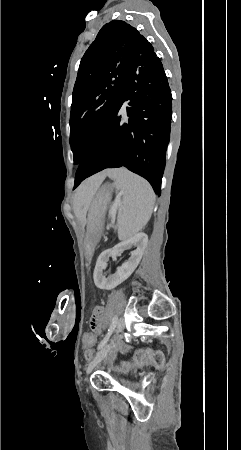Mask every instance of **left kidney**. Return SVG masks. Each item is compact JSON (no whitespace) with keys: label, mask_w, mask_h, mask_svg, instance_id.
I'll return each mask as SVG.
<instances>
[{"label":"left kidney","mask_w":241,"mask_h":450,"mask_svg":"<svg viewBox=\"0 0 241 450\" xmlns=\"http://www.w3.org/2000/svg\"><path fill=\"white\" fill-rule=\"evenodd\" d=\"M147 244V234L140 232V234H134V236L129 238V240H125V242H120V244H117V246H114L113 250H105V252H102L96 262L93 274L95 286L100 288V290H113V288H116V286H119V284L125 282V280L131 276L132 272L136 270ZM132 246H135L136 250L131 252L129 260L124 262L120 268H117V272L114 276L105 278L103 270L107 268V262L110 256L111 258H116V256H120L124 250H130Z\"/></svg>","instance_id":"1"}]
</instances>
